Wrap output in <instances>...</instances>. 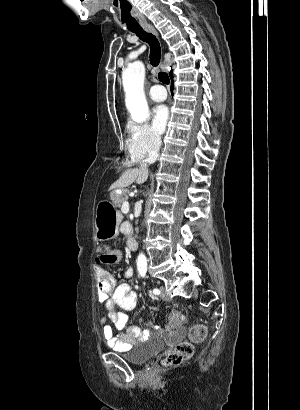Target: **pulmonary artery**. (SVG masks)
<instances>
[{"mask_svg": "<svg viewBox=\"0 0 300 410\" xmlns=\"http://www.w3.org/2000/svg\"><path fill=\"white\" fill-rule=\"evenodd\" d=\"M149 97L156 102L164 101L167 98V92L161 85H154L149 90Z\"/></svg>", "mask_w": 300, "mask_h": 410, "instance_id": "pulmonary-artery-1", "label": "pulmonary artery"}]
</instances>
